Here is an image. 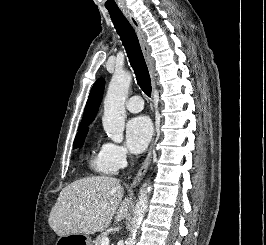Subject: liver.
<instances>
[{
  "mask_svg": "<svg viewBox=\"0 0 266 245\" xmlns=\"http://www.w3.org/2000/svg\"><path fill=\"white\" fill-rule=\"evenodd\" d=\"M113 177H85L62 189L48 223L58 235H94L108 229L116 211L115 223L126 219L129 199ZM105 207V209H103Z\"/></svg>",
  "mask_w": 266,
  "mask_h": 245,
  "instance_id": "obj_1",
  "label": "liver"
}]
</instances>
